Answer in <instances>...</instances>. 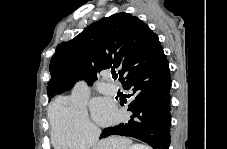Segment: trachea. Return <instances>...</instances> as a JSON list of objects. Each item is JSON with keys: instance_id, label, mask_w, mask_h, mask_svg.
I'll list each match as a JSON object with an SVG mask.
<instances>
[{"instance_id": "obj_1", "label": "trachea", "mask_w": 227, "mask_h": 149, "mask_svg": "<svg viewBox=\"0 0 227 149\" xmlns=\"http://www.w3.org/2000/svg\"><path fill=\"white\" fill-rule=\"evenodd\" d=\"M117 77H118V75H117V74L112 73V78H113L114 80H116V79H117Z\"/></svg>"}]
</instances>
